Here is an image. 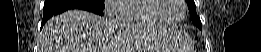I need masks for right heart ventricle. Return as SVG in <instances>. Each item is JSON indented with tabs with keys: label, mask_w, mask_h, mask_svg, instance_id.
I'll list each match as a JSON object with an SVG mask.
<instances>
[{
	"label": "right heart ventricle",
	"mask_w": 261,
	"mask_h": 52,
	"mask_svg": "<svg viewBox=\"0 0 261 52\" xmlns=\"http://www.w3.org/2000/svg\"><path fill=\"white\" fill-rule=\"evenodd\" d=\"M155 0H126L116 6L121 21L128 24H164L153 9Z\"/></svg>",
	"instance_id": "obj_1"
}]
</instances>
